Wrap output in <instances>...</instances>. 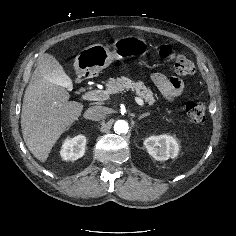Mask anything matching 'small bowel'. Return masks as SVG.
Here are the masks:
<instances>
[{
	"label": "small bowel",
	"instance_id": "c3829d8e",
	"mask_svg": "<svg viewBox=\"0 0 236 236\" xmlns=\"http://www.w3.org/2000/svg\"><path fill=\"white\" fill-rule=\"evenodd\" d=\"M151 80L161 96L171 102L181 95L184 88L180 79L159 72L154 73Z\"/></svg>",
	"mask_w": 236,
	"mask_h": 236
}]
</instances>
